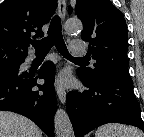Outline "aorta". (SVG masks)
Here are the masks:
<instances>
[{"label": "aorta", "instance_id": "obj_1", "mask_svg": "<svg viewBox=\"0 0 144 137\" xmlns=\"http://www.w3.org/2000/svg\"><path fill=\"white\" fill-rule=\"evenodd\" d=\"M82 29L79 20H67L65 30L67 32H77ZM54 128L57 137H74V131L67 112L64 109H57L54 117Z\"/></svg>", "mask_w": 144, "mask_h": 137}]
</instances>
